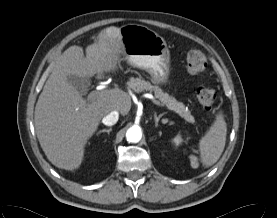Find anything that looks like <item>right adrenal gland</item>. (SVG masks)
<instances>
[{
	"instance_id": "2a0ac1e0",
	"label": "right adrenal gland",
	"mask_w": 277,
	"mask_h": 218,
	"mask_svg": "<svg viewBox=\"0 0 277 218\" xmlns=\"http://www.w3.org/2000/svg\"><path fill=\"white\" fill-rule=\"evenodd\" d=\"M111 131H112V128H109V129H103V130H100L97 134L99 135V134L104 133V132H106V133L110 134V132H111Z\"/></svg>"
}]
</instances>
